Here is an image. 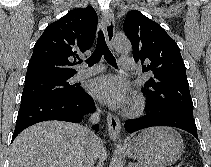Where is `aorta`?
I'll return each mask as SVG.
<instances>
[{
    "instance_id": "obj_1",
    "label": "aorta",
    "mask_w": 211,
    "mask_h": 167,
    "mask_svg": "<svg viewBox=\"0 0 211 167\" xmlns=\"http://www.w3.org/2000/svg\"><path fill=\"white\" fill-rule=\"evenodd\" d=\"M114 48L119 53H128L131 50V43L127 38H117L114 41ZM123 156L120 149L117 148L111 158L109 167H122Z\"/></svg>"
}]
</instances>
